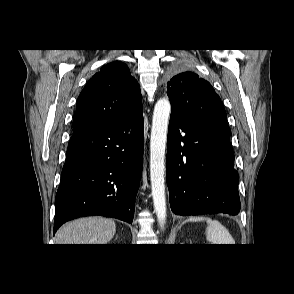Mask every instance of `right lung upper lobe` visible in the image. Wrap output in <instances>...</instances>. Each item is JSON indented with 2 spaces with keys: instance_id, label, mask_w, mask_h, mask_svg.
Wrapping results in <instances>:
<instances>
[{
  "instance_id": "cb5924a9",
  "label": "right lung upper lobe",
  "mask_w": 294,
  "mask_h": 294,
  "mask_svg": "<svg viewBox=\"0 0 294 294\" xmlns=\"http://www.w3.org/2000/svg\"><path fill=\"white\" fill-rule=\"evenodd\" d=\"M141 105V91L129 68L119 61L109 63L80 93L73 133L112 123Z\"/></svg>"
}]
</instances>
